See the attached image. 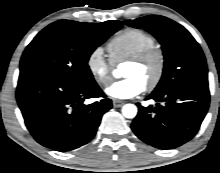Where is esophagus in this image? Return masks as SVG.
I'll list each match as a JSON object with an SVG mask.
<instances>
[{
    "instance_id": "34e87169",
    "label": "esophagus",
    "mask_w": 220,
    "mask_h": 173,
    "mask_svg": "<svg viewBox=\"0 0 220 173\" xmlns=\"http://www.w3.org/2000/svg\"><path fill=\"white\" fill-rule=\"evenodd\" d=\"M123 104H124V102L121 100H118V99L113 100V106L116 108L121 107Z\"/></svg>"
}]
</instances>
